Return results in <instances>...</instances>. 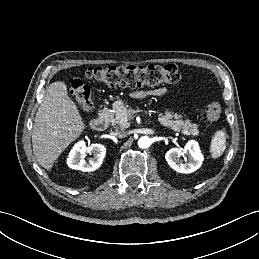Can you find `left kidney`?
<instances>
[{
    "label": "left kidney",
    "instance_id": "1",
    "mask_svg": "<svg viewBox=\"0 0 259 259\" xmlns=\"http://www.w3.org/2000/svg\"><path fill=\"white\" fill-rule=\"evenodd\" d=\"M181 156L184 157L185 163L180 159ZM165 159L172 169L179 173L187 174L200 168L203 162V155L198 143L195 140H190L184 148L170 149L166 153Z\"/></svg>",
    "mask_w": 259,
    "mask_h": 259
}]
</instances>
